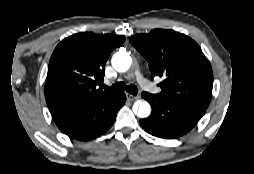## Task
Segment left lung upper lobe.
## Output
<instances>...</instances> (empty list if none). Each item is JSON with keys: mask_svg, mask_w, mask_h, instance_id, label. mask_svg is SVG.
I'll use <instances>...</instances> for the list:
<instances>
[{"mask_svg": "<svg viewBox=\"0 0 254 174\" xmlns=\"http://www.w3.org/2000/svg\"><path fill=\"white\" fill-rule=\"evenodd\" d=\"M147 59L151 75L163 78L156 96L170 103L205 112L212 96L213 73L208 59L190 37L173 30L154 29L130 37Z\"/></svg>", "mask_w": 254, "mask_h": 174, "instance_id": "5c2ea615", "label": "left lung upper lobe"}]
</instances>
